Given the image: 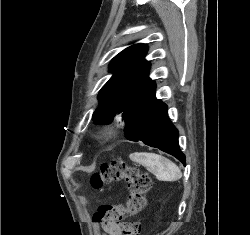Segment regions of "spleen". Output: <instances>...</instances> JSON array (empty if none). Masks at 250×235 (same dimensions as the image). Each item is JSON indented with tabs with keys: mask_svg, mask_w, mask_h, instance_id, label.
I'll return each mask as SVG.
<instances>
[{
	"mask_svg": "<svg viewBox=\"0 0 250 235\" xmlns=\"http://www.w3.org/2000/svg\"><path fill=\"white\" fill-rule=\"evenodd\" d=\"M130 159L145 166L158 180L176 181L182 177L180 168L171 160L155 153H134Z\"/></svg>",
	"mask_w": 250,
	"mask_h": 235,
	"instance_id": "3e777b00",
	"label": "spleen"
}]
</instances>
